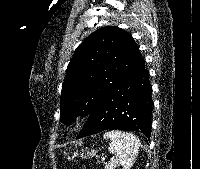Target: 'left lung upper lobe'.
Masks as SVG:
<instances>
[{
  "label": "left lung upper lobe",
  "mask_w": 200,
  "mask_h": 169,
  "mask_svg": "<svg viewBox=\"0 0 200 169\" xmlns=\"http://www.w3.org/2000/svg\"><path fill=\"white\" fill-rule=\"evenodd\" d=\"M144 61L133 38L118 27H102L77 47L62 86L61 122L88 115Z\"/></svg>",
  "instance_id": "obj_1"
}]
</instances>
